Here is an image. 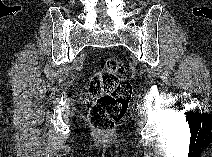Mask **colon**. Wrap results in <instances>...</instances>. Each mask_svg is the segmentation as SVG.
I'll list each match as a JSON object with an SVG mask.
<instances>
[{
  "mask_svg": "<svg viewBox=\"0 0 212 157\" xmlns=\"http://www.w3.org/2000/svg\"><path fill=\"white\" fill-rule=\"evenodd\" d=\"M89 93L96 98L88 114L90 125L103 135L109 134L127 112L132 86L116 57H109L90 78Z\"/></svg>",
  "mask_w": 212,
  "mask_h": 157,
  "instance_id": "colon-1",
  "label": "colon"
}]
</instances>
